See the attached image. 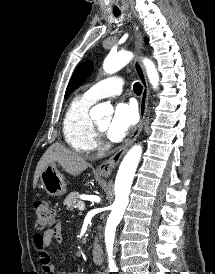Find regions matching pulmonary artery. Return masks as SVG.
I'll return each mask as SVG.
<instances>
[{"instance_id":"obj_1","label":"pulmonary artery","mask_w":215,"mask_h":274,"mask_svg":"<svg viewBox=\"0 0 215 274\" xmlns=\"http://www.w3.org/2000/svg\"><path fill=\"white\" fill-rule=\"evenodd\" d=\"M123 85L124 81L121 77L112 76L94 84L85 92V95L89 99L97 101L105 97L121 94Z\"/></svg>"}]
</instances>
